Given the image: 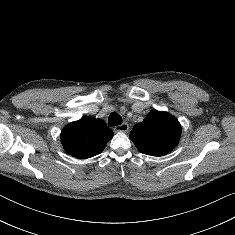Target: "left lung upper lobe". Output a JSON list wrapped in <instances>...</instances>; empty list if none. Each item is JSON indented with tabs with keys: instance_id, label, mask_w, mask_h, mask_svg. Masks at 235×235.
<instances>
[{
	"instance_id": "left-lung-upper-lobe-1",
	"label": "left lung upper lobe",
	"mask_w": 235,
	"mask_h": 235,
	"mask_svg": "<svg viewBox=\"0 0 235 235\" xmlns=\"http://www.w3.org/2000/svg\"><path fill=\"white\" fill-rule=\"evenodd\" d=\"M181 137V125L170 113L153 110L136 124L130 138L144 154L162 156L172 151Z\"/></svg>"
}]
</instances>
